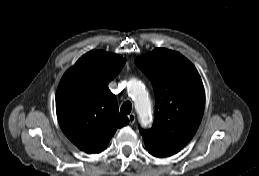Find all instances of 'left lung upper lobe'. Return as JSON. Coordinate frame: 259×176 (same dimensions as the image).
<instances>
[{"label": "left lung upper lobe", "instance_id": "left-lung-upper-lobe-1", "mask_svg": "<svg viewBox=\"0 0 259 176\" xmlns=\"http://www.w3.org/2000/svg\"><path fill=\"white\" fill-rule=\"evenodd\" d=\"M155 93V117L150 130L140 128L149 153L171 156L194 136L201 122L205 92L194 65L178 52L156 48L136 58Z\"/></svg>", "mask_w": 259, "mask_h": 176}]
</instances>
